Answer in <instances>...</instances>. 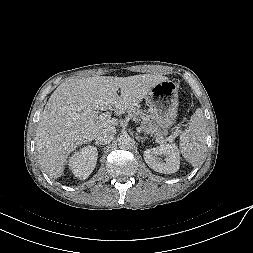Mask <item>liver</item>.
<instances>
[{
    "label": "liver",
    "instance_id": "obj_1",
    "mask_svg": "<svg viewBox=\"0 0 253 253\" xmlns=\"http://www.w3.org/2000/svg\"><path fill=\"white\" fill-rule=\"evenodd\" d=\"M165 80L168 78L162 75L143 74L64 81L50 96L36 130V150L42 169L51 178L60 177L68 155L77 146L92 141L101 127L117 123L116 119L99 120L97 108L114 107L117 114H124Z\"/></svg>",
    "mask_w": 253,
    "mask_h": 253
}]
</instances>
